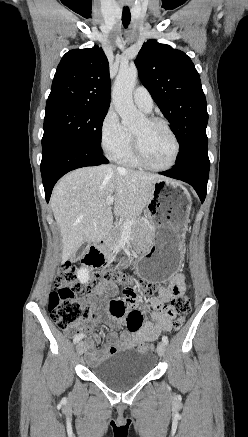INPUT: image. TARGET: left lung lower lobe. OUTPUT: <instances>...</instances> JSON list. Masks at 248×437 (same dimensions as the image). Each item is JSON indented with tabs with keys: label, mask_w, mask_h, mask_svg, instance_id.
Segmentation results:
<instances>
[{
	"label": "left lung lower lobe",
	"mask_w": 248,
	"mask_h": 437,
	"mask_svg": "<svg viewBox=\"0 0 248 437\" xmlns=\"http://www.w3.org/2000/svg\"><path fill=\"white\" fill-rule=\"evenodd\" d=\"M208 140L195 147L183 160L175 166L159 174L182 180L190 184L199 195L201 202L205 200L210 162L207 154Z\"/></svg>",
	"instance_id": "1"
}]
</instances>
